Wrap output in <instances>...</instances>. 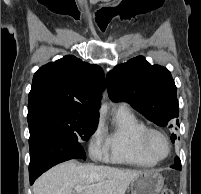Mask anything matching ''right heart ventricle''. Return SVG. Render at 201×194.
Masks as SVG:
<instances>
[{"mask_svg":"<svg viewBox=\"0 0 201 194\" xmlns=\"http://www.w3.org/2000/svg\"><path fill=\"white\" fill-rule=\"evenodd\" d=\"M147 126L129 108L121 106L115 112L111 128L102 127L107 158L113 162L139 166H153L142 150L141 135Z\"/></svg>","mask_w":201,"mask_h":194,"instance_id":"e07e8e85","label":"right heart ventricle"}]
</instances>
